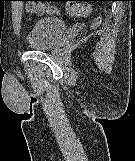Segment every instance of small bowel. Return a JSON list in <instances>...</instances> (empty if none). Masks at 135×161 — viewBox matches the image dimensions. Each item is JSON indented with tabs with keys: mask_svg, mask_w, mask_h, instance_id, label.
<instances>
[{
	"mask_svg": "<svg viewBox=\"0 0 135 161\" xmlns=\"http://www.w3.org/2000/svg\"><path fill=\"white\" fill-rule=\"evenodd\" d=\"M47 10H48L49 12H52V13H55V12H56V9L53 8V7H50V8H48Z\"/></svg>",
	"mask_w": 135,
	"mask_h": 161,
	"instance_id": "small-bowel-1",
	"label": "small bowel"
}]
</instances>
